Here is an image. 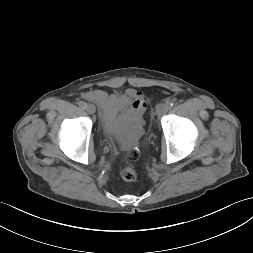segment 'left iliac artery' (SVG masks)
I'll return each mask as SVG.
<instances>
[{
  "label": "left iliac artery",
  "instance_id": "44dca946",
  "mask_svg": "<svg viewBox=\"0 0 253 253\" xmlns=\"http://www.w3.org/2000/svg\"><path fill=\"white\" fill-rule=\"evenodd\" d=\"M168 107H173L175 105V102L173 100L167 102Z\"/></svg>",
  "mask_w": 253,
  "mask_h": 253
}]
</instances>
